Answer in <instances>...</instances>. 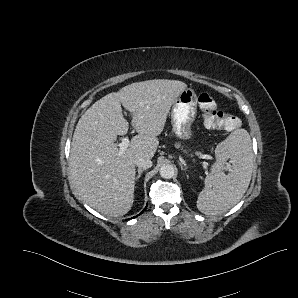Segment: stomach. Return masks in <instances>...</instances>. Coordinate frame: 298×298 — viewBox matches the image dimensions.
Here are the masks:
<instances>
[{"instance_id":"obj_1","label":"stomach","mask_w":298,"mask_h":298,"mask_svg":"<svg viewBox=\"0 0 298 298\" xmlns=\"http://www.w3.org/2000/svg\"><path fill=\"white\" fill-rule=\"evenodd\" d=\"M197 112V95L195 89L186 87L174 100L170 112L174 134L181 138L190 137V127Z\"/></svg>"}]
</instances>
